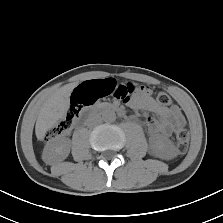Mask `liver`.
<instances>
[{
    "label": "liver",
    "instance_id": "liver-1",
    "mask_svg": "<svg viewBox=\"0 0 223 223\" xmlns=\"http://www.w3.org/2000/svg\"><path fill=\"white\" fill-rule=\"evenodd\" d=\"M76 85L71 83L62 86L43 103L35 125L38 140H43L47 131L66 115L70 106V94Z\"/></svg>",
    "mask_w": 223,
    "mask_h": 223
}]
</instances>
